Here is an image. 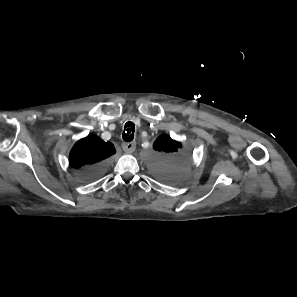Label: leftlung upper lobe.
<instances>
[{
  "label": "left lung upper lobe",
  "mask_w": 297,
  "mask_h": 297,
  "mask_svg": "<svg viewBox=\"0 0 297 297\" xmlns=\"http://www.w3.org/2000/svg\"><path fill=\"white\" fill-rule=\"evenodd\" d=\"M156 151L150 156V166L153 174L168 182L176 181L181 177L187 157L178 152L181 143L167 135H161L153 144Z\"/></svg>",
  "instance_id": "left-lung-upper-lobe-1"
}]
</instances>
